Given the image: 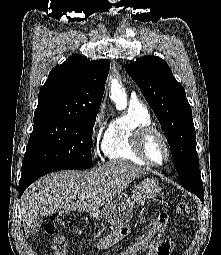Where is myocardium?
<instances>
[{
	"instance_id": "myocardium-1",
	"label": "myocardium",
	"mask_w": 221,
	"mask_h": 255,
	"mask_svg": "<svg viewBox=\"0 0 221 255\" xmlns=\"http://www.w3.org/2000/svg\"><path fill=\"white\" fill-rule=\"evenodd\" d=\"M158 136L166 150V158L161 163H155L148 157L146 153V142L152 136ZM133 148L137 155L148 165L154 167H160L165 165L171 158V148L166 136L156 127L149 125V126H141L137 128L133 134Z\"/></svg>"
}]
</instances>
